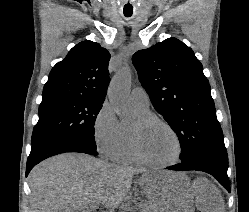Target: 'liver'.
Segmentation results:
<instances>
[{
  "instance_id": "6515ba94",
  "label": "liver",
  "mask_w": 249,
  "mask_h": 212,
  "mask_svg": "<svg viewBox=\"0 0 249 212\" xmlns=\"http://www.w3.org/2000/svg\"><path fill=\"white\" fill-rule=\"evenodd\" d=\"M138 180L153 212H160L174 184L188 182L196 196L199 212H225L224 200L216 186L206 178L190 184L185 174L172 182L171 172H149L144 168L116 166L86 154H60L44 160L31 170L29 206L31 212H93V204H103L106 212H115L131 190L133 176ZM97 206V208H98Z\"/></svg>"
}]
</instances>
